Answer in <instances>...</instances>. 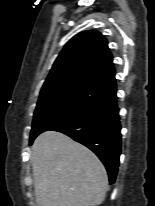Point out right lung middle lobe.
Listing matches in <instances>:
<instances>
[{
	"instance_id": "obj_1",
	"label": "right lung middle lobe",
	"mask_w": 155,
	"mask_h": 206,
	"mask_svg": "<svg viewBox=\"0 0 155 206\" xmlns=\"http://www.w3.org/2000/svg\"><path fill=\"white\" fill-rule=\"evenodd\" d=\"M106 94L85 86H72L42 91L34 112L30 144L42 132L86 110Z\"/></svg>"
}]
</instances>
